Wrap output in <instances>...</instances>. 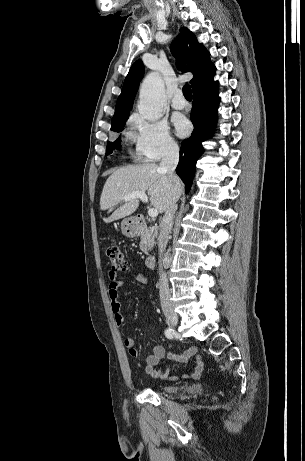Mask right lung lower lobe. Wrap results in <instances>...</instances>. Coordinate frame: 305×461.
<instances>
[{"instance_id":"obj_1","label":"right lung lower lobe","mask_w":305,"mask_h":461,"mask_svg":"<svg viewBox=\"0 0 305 461\" xmlns=\"http://www.w3.org/2000/svg\"><path fill=\"white\" fill-rule=\"evenodd\" d=\"M214 75L193 88V105L190 119L194 125L192 136L182 142L180 161L176 173L185 184L186 193L190 190L195 172V163L203 153L201 142L212 134L217 120L218 82Z\"/></svg>"}]
</instances>
